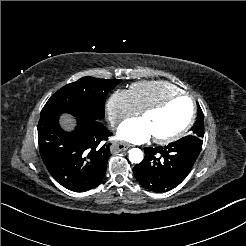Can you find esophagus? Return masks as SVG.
<instances>
[{
    "mask_svg": "<svg viewBox=\"0 0 246 246\" xmlns=\"http://www.w3.org/2000/svg\"><path fill=\"white\" fill-rule=\"evenodd\" d=\"M129 145L126 143H122V142H113L110 150L111 153L115 154V153H119L121 151H126L127 149H129Z\"/></svg>",
    "mask_w": 246,
    "mask_h": 246,
    "instance_id": "34e87169",
    "label": "esophagus"
}]
</instances>
